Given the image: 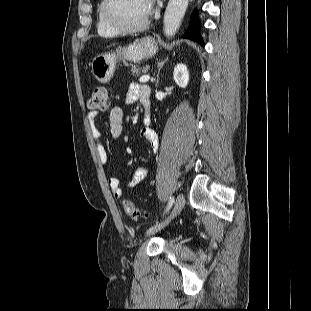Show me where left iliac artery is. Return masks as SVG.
<instances>
[{"mask_svg":"<svg viewBox=\"0 0 311 311\" xmlns=\"http://www.w3.org/2000/svg\"><path fill=\"white\" fill-rule=\"evenodd\" d=\"M173 203H174V197H170L167 207H166V211H168L172 207Z\"/></svg>","mask_w":311,"mask_h":311,"instance_id":"left-iliac-artery-1","label":"left iliac artery"}]
</instances>
